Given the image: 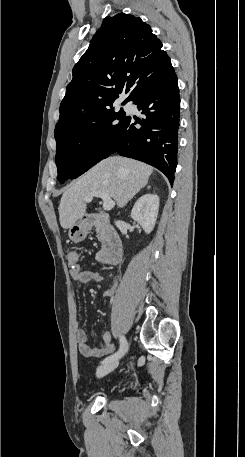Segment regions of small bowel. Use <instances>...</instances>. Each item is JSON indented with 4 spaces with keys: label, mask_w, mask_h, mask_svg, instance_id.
<instances>
[{
    "label": "small bowel",
    "mask_w": 245,
    "mask_h": 457,
    "mask_svg": "<svg viewBox=\"0 0 245 457\" xmlns=\"http://www.w3.org/2000/svg\"><path fill=\"white\" fill-rule=\"evenodd\" d=\"M71 277L80 283L100 282L103 276L95 270L71 269ZM117 289V283H114L112 288L103 294L104 298L112 297ZM76 343L79 352L86 357L98 358L112 353L115 350V344L111 340V334L105 333L103 341L98 347H90L87 343V334L83 329H77L75 333Z\"/></svg>",
    "instance_id": "obj_1"
}]
</instances>
